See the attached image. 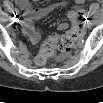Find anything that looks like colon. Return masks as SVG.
Here are the masks:
<instances>
[{
  "mask_svg": "<svg viewBox=\"0 0 103 103\" xmlns=\"http://www.w3.org/2000/svg\"><path fill=\"white\" fill-rule=\"evenodd\" d=\"M72 28L66 33L47 39L36 56V63L43 66L49 62L56 51L68 52L80 37V27L85 20L82 8L76 6L70 12Z\"/></svg>",
  "mask_w": 103,
  "mask_h": 103,
  "instance_id": "1",
  "label": "colon"
}]
</instances>
